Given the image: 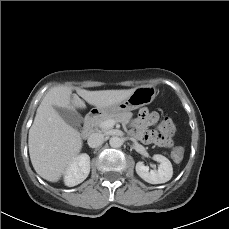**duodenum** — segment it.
<instances>
[{
  "mask_svg": "<svg viewBox=\"0 0 229 229\" xmlns=\"http://www.w3.org/2000/svg\"><path fill=\"white\" fill-rule=\"evenodd\" d=\"M99 114L97 113H89L86 115L84 119V127L82 131V138L87 139L90 135H92L95 131V122L98 120Z\"/></svg>",
  "mask_w": 229,
  "mask_h": 229,
  "instance_id": "1",
  "label": "duodenum"
}]
</instances>
